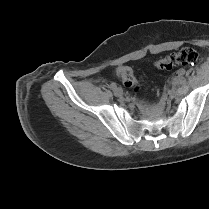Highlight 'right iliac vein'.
<instances>
[{
    "label": "right iliac vein",
    "instance_id": "63e3f726",
    "mask_svg": "<svg viewBox=\"0 0 209 209\" xmlns=\"http://www.w3.org/2000/svg\"><path fill=\"white\" fill-rule=\"evenodd\" d=\"M114 95L117 97H121L123 95V90L121 88H115Z\"/></svg>",
    "mask_w": 209,
    "mask_h": 209
}]
</instances>
